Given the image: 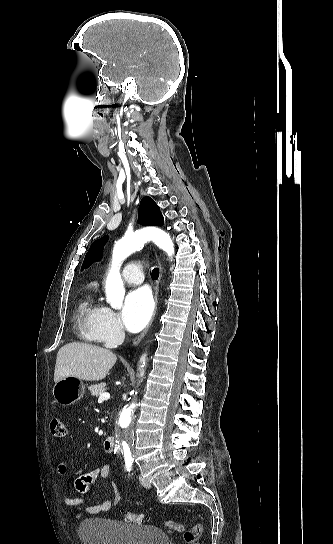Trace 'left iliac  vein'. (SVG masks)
Listing matches in <instances>:
<instances>
[{"label":"left iliac vein","instance_id":"left-iliac-vein-1","mask_svg":"<svg viewBox=\"0 0 333 544\" xmlns=\"http://www.w3.org/2000/svg\"><path fill=\"white\" fill-rule=\"evenodd\" d=\"M140 483H141L142 486H144L145 488H150V487H151V484L149 483V481L146 480V479L143 478V477H140Z\"/></svg>","mask_w":333,"mask_h":544}]
</instances>
